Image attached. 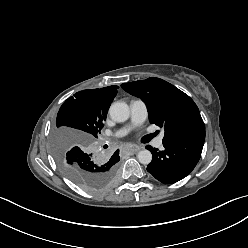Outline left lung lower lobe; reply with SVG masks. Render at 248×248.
Wrapping results in <instances>:
<instances>
[{
	"label": "left lung lower lobe",
	"instance_id": "1",
	"mask_svg": "<svg viewBox=\"0 0 248 248\" xmlns=\"http://www.w3.org/2000/svg\"><path fill=\"white\" fill-rule=\"evenodd\" d=\"M204 140L205 131H198L163 143V151L146 146L153 155L147 171L162 183H175L183 179L198 163Z\"/></svg>",
	"mask_w": 248,
	"mask_h": 248
}]
</instances>
